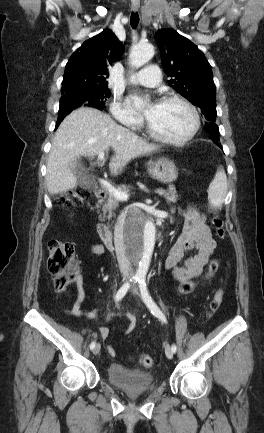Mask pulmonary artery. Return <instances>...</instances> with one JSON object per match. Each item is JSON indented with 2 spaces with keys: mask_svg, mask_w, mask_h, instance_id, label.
Here are the masks:
<instances>
[{
  "mask_svg": "<svg viewBox=\"0 0 264 433\" xmlns=\"http://www.w3.org/2000/svg\"><path fill=\"white\" fill-rule=\"evenodd\" d=\"M160 69L156 65H149L143 70L135 73L130 81L146 87H155L160 83Z\"/></svg>",
  "mask_w": 264,
  "mask_h": 433,
  "instance_id": "pulmonary-artery-1",
  "label": "pulmonary artery"
}]
</instances>
